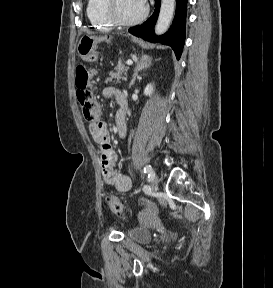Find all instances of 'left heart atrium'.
<instances>
[{"label": "left heart atrium", "instance_id": "left-heart-atrium-1", "mask_svg": "<svg viewBox=\"0 0 273 288\" xmlns=\"http://www.w3.org/2000/svg\"><path fill=\"white\" fill-rule=\"evenodd\" d=\"M143 3L145 2V0H141Z\"/></svg>", "mask_w": 273, "mask_h": 288}]
</instances>
